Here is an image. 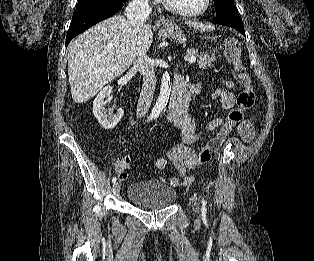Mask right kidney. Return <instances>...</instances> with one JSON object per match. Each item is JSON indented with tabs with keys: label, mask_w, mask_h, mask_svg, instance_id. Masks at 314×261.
Instances as JSON below:
<instances>
[{
	"label": "right kidney",
	"mask_w": 314,
	"mask_h": 261,
	"mask_svg": "<svg viewBox=\"0 0 314 261\" xmlns=\"http://www.w3.org/2000/svg\"><path fill=\"white\" fill-rule=\"evenodd\" d=\"M112 93V87H104L93 101V113L101 126L106 129H113L121 120L124 111L119 109L116 114L108 113L105 109L104 99Z\"/></svg>",
	"instance_id": "ca27d5eb"
}]
</instances>
